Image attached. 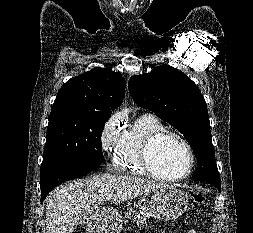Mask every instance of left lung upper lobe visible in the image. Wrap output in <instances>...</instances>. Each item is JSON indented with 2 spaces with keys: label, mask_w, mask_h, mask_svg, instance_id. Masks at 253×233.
Masks as SVG:
<instances>
[{
  "label": "left lung upper lobe",
  "mask_w": 253,
  "mask_h": 233,
  "mask_svg": "<svg viewBox=\"0 0 253 233\" xmlns=\"http://www.w3.org/2000/svg\"><path fill=\"white\" fill-rule=\"evenodd\" d=\"M133 100L176 127L192 147L198 165L192 178L220 184L205 99L181 71L161 65L129 80Z\"/></svg>",
  "instance_id": "left-lung-upper-lobe-1"
}]
</instances>
